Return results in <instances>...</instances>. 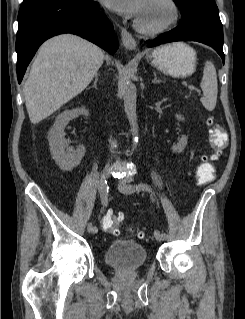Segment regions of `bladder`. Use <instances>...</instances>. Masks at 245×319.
Here are the masks:
<instances>
[{
    "label": "bladder",
    "instance_id": "1",
    "mask_svg": "<svg viewBox=\"0 0 245 319\" xmlns=\"http://www.w3.org/2000/svg\"><path fill=\"white\" fill-rule=\"evenodd\" d=\"M104 259L110 266L135 268L146 263L147 253L142 244L131 240L119 239L108 244Z\"/></svg>",
    "mask_w": 245,
    "mask_h": 319
}]
</instances>
